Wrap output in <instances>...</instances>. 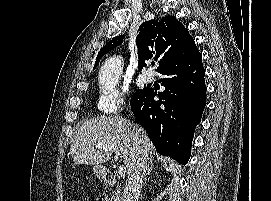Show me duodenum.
<instances>
[{"mask_svg": "<svg viewBox=\"0 0 271 201\" xmlns=\"http://www.w3.org/2000/svg\"><path fill=\"white\" fill-rule=\"evenodd\" d=\"M103 180L105 181V183L111 186H115L117 184L115 175L108 170L103 173Z\"/></svg>", "mask_w": 271, "mask_h": 201, "instance_id": "duodenum-1", "label": "duodenum"}]
</instances>
